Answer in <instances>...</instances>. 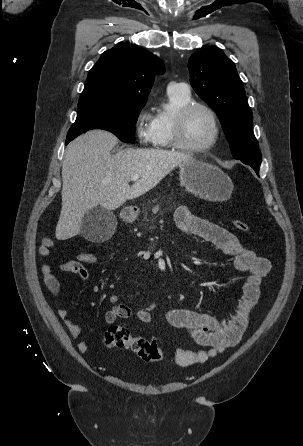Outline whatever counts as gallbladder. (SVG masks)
Masks as SVG:
<instances>
[{
  "mask_svg": "<svg viewBox=\"0 0 303 446\" xmlns=\"http://www.w3.org/2000/svg\"><path fill=\"white\" fill-rule=\"evenodd\" d=\"M117 222L114 214L101 206L89 210L82 219L80 233L92 242L107 240L115 231Z\"/></svg>",
  "mask_w": 303,
  "mask_h": 446,
  "instance_id": "1",
  "label": "gallbladder"
}]
</instances>
